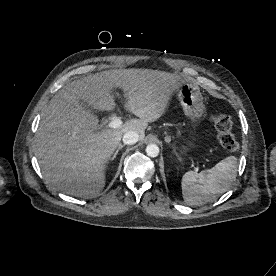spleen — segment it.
<instances>
[{
  "label": "spleen",
  "mask_w": 276,
  "mask_h": 276,
  "mask_svg": "<svg viewBox=\"0 0 276 276\" xmlns=\"http://www.w3.org/2000/svg\"><path fill=\"white\" fill-rule=\"evenodd\" d=\"M237 173V158L226 157L211 169L200 173L186 172L181 181L182 195L186 204L202 205L225 193Z\"/></svg>",
  "instance_id": "spleen-1"
}]
</instances>
